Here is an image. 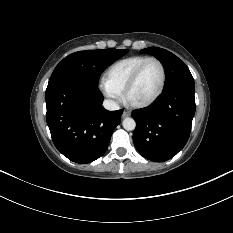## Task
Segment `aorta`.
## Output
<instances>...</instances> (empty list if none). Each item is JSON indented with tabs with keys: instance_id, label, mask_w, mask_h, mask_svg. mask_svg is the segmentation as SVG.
<instances>
[{
	"instance_id": "aorta-1",
	"label": "aorta",
	"mask_w": 233,
	"mask_h": 233,
	"mask_svg": "<svg viewBox=\"0 0 233 233\" xmlns=\"http://www.w3.org/2000/svg\"><path fill=\"white\" fill-rule=\"evenodd\" d=\"M123 128L127 131H132L136 127V122L133 118L127 117L122 122Z\"/></svg>"
}]
</instances>
